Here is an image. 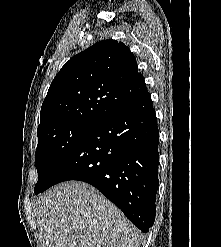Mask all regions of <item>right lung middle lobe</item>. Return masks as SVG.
Wrapping results in <instances>:
<instances>
[{
    "label": "right lung middle lobe",
    "mask_w": 221,
    "mask_h": 247,
    "mask_svg": "<svg viewBox=\"0 0 221 247\" xmlns=\"http://www.w3.org/2000/svg\"><path fill=\"white\" fill-rule=\"evenodd\" d=\"M95 126L93 123L74 122L37 132L35 164L38 182L35 194L48 185L63 161Z\"/></svg>",
    "instance_id": "dd1d6c3e"
}]
</instances>
